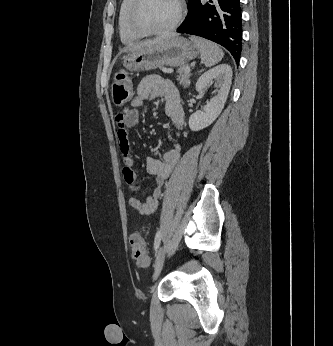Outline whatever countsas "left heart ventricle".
Instances as JSON below:
<instances>
[{"label":"left heart ventricle","mask_w":333,"mask_h":346,"mask_svg":"<svg viewBox=\"0 0 333 346\" xmlns=\"http://www.w3.org/2000/svg\"><path fill=\"white\" fill-rule=\"evenodd\" d=\"M177 12L176 0H145L139 18L149 29H162L169 26Z\"/></svg>","instance_id":"obj_1"}]
</instances>
